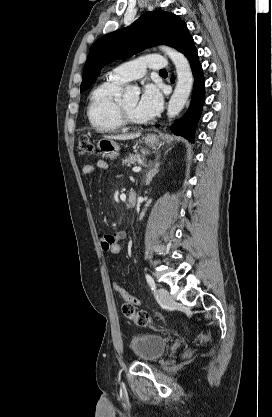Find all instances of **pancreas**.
<instances>
[{
    "label": "pancreas",
    "instance_id": "obj_1",
    "mask_svg": "<svg viewBox=\"0 0 272 417\" xmlns=\"http://www.w3.org/2000/svg\"><path fill=\"white\" fill-rule=\"evenodd\" d=\"M143 161H144L143 156L130 154L122 162H123V165L125 164L127 166H131V164H136V163L141 164L143 163Z\"/></svg>",
    "mask_w": 272,
    "mask_h": 417
}]
</instances>
